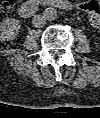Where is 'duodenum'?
I'll return each instance as SVG.
<instances>
[{
  "label": "duodenum",
  "instance_id": "obj_1",
  "mask_svg": "<svg viewBox=\"0 0 100 118\" xmlns=\"http://www.w3.org/2000/svg\"><path fill=\"white\" fill-rule=\"evenodd\" d=\"M41 7L71 9L73 6L69 0H28L19 6L18 12L21 16L30 17Z\"/></svg>",
  "mask_w": 100,
  "mask_h": 118
}]
</instances>
